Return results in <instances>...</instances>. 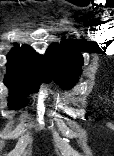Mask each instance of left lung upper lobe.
Listing matches in <instances>:
<instances>
[{
  "instance_id": "5c2ea615",
  "label": "left lung upper lobe",
  "mask_w": 114,
  "mask_h": 156,
  "mask_svg": "<svg viewBox=\"0 0 114 156\" xmlns=\"http://www.w3.org/2000/svg\"><path fill=\"white\" fill-rule=\"evenodd\" d=\"M74 40L51 45L47 57L55 72L54 79L63 89H70L78 81L83 64L82 55L74 46Z\"/></svg>"
}]
</instances>
